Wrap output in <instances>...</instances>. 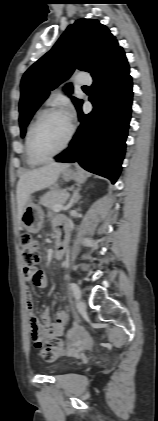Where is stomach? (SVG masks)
Wrapping results in <instances>:
<instances>
[{
    "label": "stomach",
    "mask_w": 158,
    "mask_h": 421,
    "mask_svg": "<svg viewBox=\"0 0 158 421\" xmlns=\"http://www.w3.org/2000/svg\"><path fill=\"white\" fill-rule=\"evenodd\" d=\"M61 177L65 181L77 180L83 181L86 176L81 169H71L66 168L61 172ZM44 220V213L41 207L33 201L32 198H29L21 217V222L24 228L30 233H38L42 228Z\"/></svg>",
    "instance_id": "stomach-1"
}]
</instances>
